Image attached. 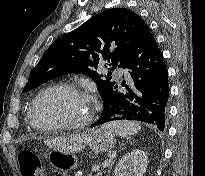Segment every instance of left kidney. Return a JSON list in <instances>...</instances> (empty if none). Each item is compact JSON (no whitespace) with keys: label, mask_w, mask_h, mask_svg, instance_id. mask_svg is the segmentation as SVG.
Listing matches in <instances>:
<instances>
[{"label":"left kidney","mask_w":205,"mask_h":176,"mask_svg":"<svg viewBox=\"0 0 205 176\" xmlns=\"http://www.w3.org/2000/svg\"><path fill=\"white\" fill-rule=\"evenodd\" d=\"M148 164L143 150L133 149L124 155L115 168V176H143Z\"/></svg>","instance_id":"left-kidney-1"}]
</instances>
